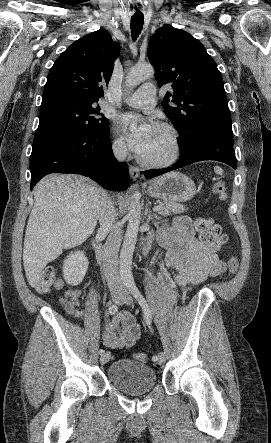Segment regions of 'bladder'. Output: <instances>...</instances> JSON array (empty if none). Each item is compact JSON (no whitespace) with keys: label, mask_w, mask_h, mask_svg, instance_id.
<instances>
[{"label":"bladder","mask_w":271,"mask_h":443,"mask_svg":"<svg viewBox=\"0 0 271 443\" xmlns=\"http://www.w3.org/2000/svg\"><path fill=\"white\" fill-rule=\"evenodd\" d=\"M107 374L116 388L130 395L147 393L156 386L157 382L156 373L152 367L127 358L112 362Z\"/></svg>","instance_id":"obj_1"}]
</instances>
